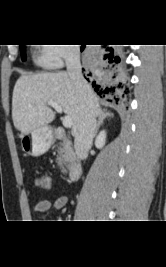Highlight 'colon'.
Returning <instances> with one entry per match:
<instances>
[{
	"label": "colon",
	"mask_w": 166,
	"mask_h": 267,
	"mask_svg": "<svg viewBox=\"0 0 166 267\" xmlns=\"http://www.w3.org/2000/svg\"><path fill=\"white\" fill-rule=\"evenodd\" d=\"M37 185L40 188L46 189L50 186V177L46 174L41 175L38 179H37Z\"/></svg>",
	"instance_id": "5ec220e1"
}]
</instances>
